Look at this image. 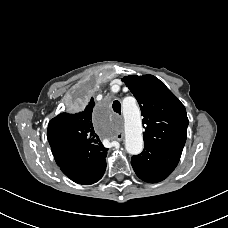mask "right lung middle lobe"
<instances>
[{"label": "right lung middle lobe", "instance_id": "1", "mask_svg": "<svg viewBox=\"0 0 228 228\" xmlns=\"http://www.w3.org/2000/svg\"><path fill=\"white\" fill-rule=\"evenodd\" d=\"M88 95H89L88 89L81 91L75 99L76 107L83 106L87 102Z\"/></svg>", "mask_w": 228, "mask_h": 228}]
</instances>
